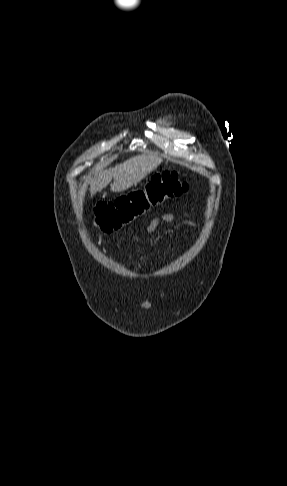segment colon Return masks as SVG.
I'll return each mask as SVG.
<instances>
[{
	"mask_svg": "<svg viewBox=\"0 0 287 486\" xmlns=\"http://www.w3.org/2000/svg\"><path fill=\"white\" fill-rule=\"evenodd\" d=\"M189 183L175 171L154 175L142 188L114 200L99 202L94 210L96 225L103 232H113L146 213L150 208L180 197Z\"/></svg>",
	"mask_w": 287,
	"mask_h": 486,
	"instance_id": "colon-1",
	"label": "colon"
}]
</instances>
